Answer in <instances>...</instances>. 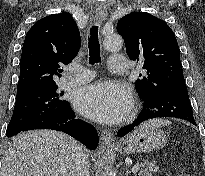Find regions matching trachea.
Here are the masks:
<instances>
[{
  "instance_id": "obj_1",
  "label": "trachea",
  "mask_w": 205,
  "mask_h": 176,
  "mask_svg": "<svg viewBox=\"0 0 205 176\" xmlns=\"http://www.w3.org/2000/svg\"><path fill=\"white\" fill-rule=\"evenodd\" d=\"M89 63L94 64L100 62V44L98 38V26L94 25L90 29V38H89Z\"/></svg>"
}]
</instances>
